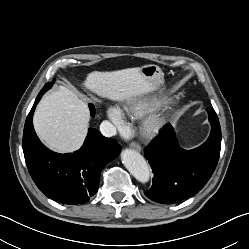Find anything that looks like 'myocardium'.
<instances>
[{
  "label": "myocardium",
  "mask_w": 249,
  "mask_h": 249,
  "mask_svg": "<svg viewBox=\"0 0 249 249\" xmlns=\"http://www.w3.org/2000/svg\"><path fill=\"white\" fill-rule=\"evenodd\" d=\"M166 122V116L162 111H154L142 122L141 133L146 137H153L163 129Z\"/></svg>",
  "instance_id": "myocardium-1"
}]
</instances>
